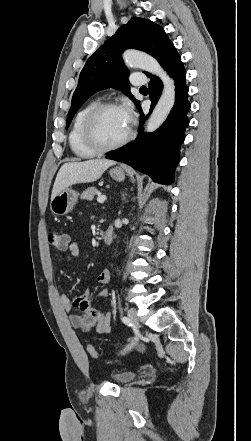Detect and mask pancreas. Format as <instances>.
I'll return each mask as SVG.
<instances>
[{
	"label": "pancreas",
	"instance_id": "cf45deb5",
	"mask_svg": "<svg viewBox=\"0 0 251 441\" xmlns=\"http://www.w3.org/2000/svg\"><path fill=\"white\" fill-rule=\"evenodd\" d=\"M98 193L99 191L95 187H89L81 194L80 198L91 201Z\"/></svg>",
	"mask_w": 251,
	"mask_h": 441
}]
</instances>
